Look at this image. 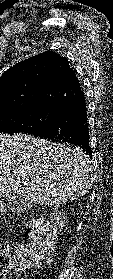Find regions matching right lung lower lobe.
<instances>
[{"label":"right lung lower lobe","mask_w":113,"mask_h":279,"mask_svg":"<svg viewBox=\"0 0 113 279\" xmlns=\"http://www.w3.org/2000/svg\"><path fill=\"white\" fill-rule=\"evenodd\" d=\"M29 134L77 146L91 155L84 94L76 105L65 110V114L57 122L38 128Z\"/></svg>","instance_id":"98d812e1"}]
</instances>
